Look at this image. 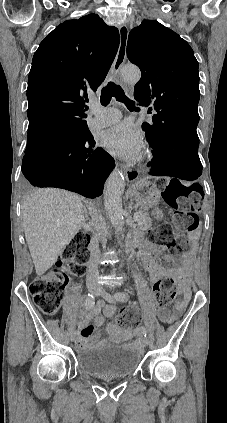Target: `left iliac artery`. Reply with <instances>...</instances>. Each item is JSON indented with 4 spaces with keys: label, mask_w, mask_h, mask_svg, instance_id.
<instances>
[{
    "label": "left iliac artery",
    "mask_w": 227,
    "mask_h": 423,
    "mask_svg": "<svg viewBox=\"0 0 227 423\" xmlns=\"http://www.w3.org/2000/svg\"><path fill=\"white\" fill-rule=\"evenodd\" d=\"M114 297H115L116 300H119V301H122V302L126 301L127 298H128L127 295H125L124 293H121V292L116 293L114 295ZM141 328H142V333H143L144 337H147L148 334H147L146 328L144 326H142Z\"/></svg>",
    "instance_id": "left-iliac-artery-1"
}]
</instances>
